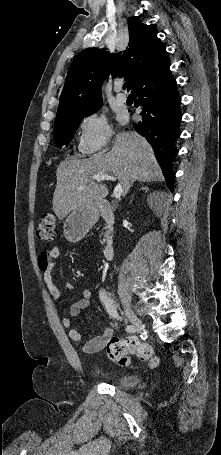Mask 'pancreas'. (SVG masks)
Returning a JSON list of instances; mask_svg holds the SVG:
<instances>
[{
    "label": "pancreas",
    "mask_w": 221,
    "mask_h": 455,
    "mask_svg": "<svg viewBox=\"0 0 221 455\" xmlns=\"http://www.w3.org/2000/svg\"><path fill=\"white\" fill-rule=\"evenodd\" d=\"M112 232H113V230L110 228V229L108 230L107 234H112ZM100 242H101L102 244H104V243H105V239L101 240Z\"/></svg>",
    "instance_id": "cf45deb5"
}]
</instances>
